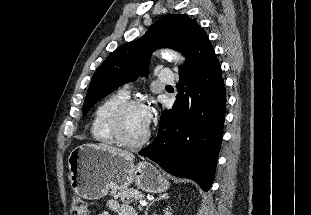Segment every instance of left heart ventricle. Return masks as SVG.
Segmentation results:
<instances>
[{
  "label": "left heart ventricle",
  "instance_id": "1",
  "mask_svg": "<svg viewBox=\"0 0 311 215\" xmlns=\"http://www.w3.org/2000/svg\"><path fill=\"white\" fill-rule=\"evenodd\" d=\"M146 109L135 107L130 109L124 118V131L126 137L131 141L140 140L147 133L144 121Z\"/></svg>",
  "mask_w": 311,
  "mask_h": 215
}]
</instances>
